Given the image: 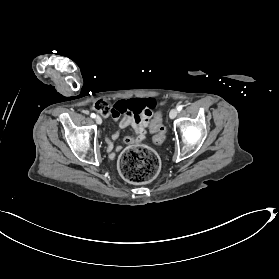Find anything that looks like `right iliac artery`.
Instances as JSON below:
<instances>
[{
    "label": "right iliac artery",
    "instance_id": "82829eb1",
    "mask_svg": "<svg viewBox=\"0 0 279 279\" xmlns=\"http://www.w3.org/2000/svg\"><path fill=\"white\" fill-rule=\"evenodd\" d=\"M91 117H92V118H95L96 115H95L94 113H91Z\"/></svg>",
    "mask_w": 279,
    "mask_h": 279
}]
</instances>
